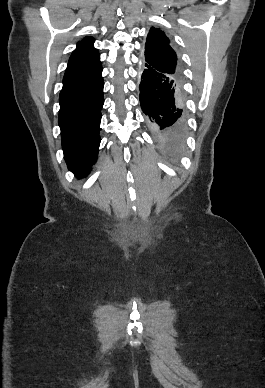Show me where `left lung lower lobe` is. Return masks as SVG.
I'll return each instance as SVG.
<instances>
[{
  "label": "left lung lower lobe",
  "instance_id": "left-lung-lower-lobe-1",
  "mask_svg": "<svg viewBox=\"0 0 265 388\" xmlns=\"http://www.w3.org/2000/svg\"><path fill=\"white\" fill-rule=\"evenodd\" d=\"M139 90L141 108L153 137L176 157L183 143L186 119L181 82L143 65Z\"/></svg>",
  "mask_w": 265,
  "mask_h": 388
}]
</instances>
